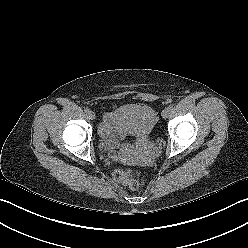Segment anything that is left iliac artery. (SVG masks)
I'll return each instance as SVG.
<instances>
[{
  "instance_id": "1",
  "label": "left iliac artery",
  "mask_w": 248,
  "mask_h": 248,
  "mask_svg": "<svg viewBox=\"0 0 248 248\" xmlns=\"http://www.w3.org/2000/svg\"><path fill=\"white\" fill-rule=\"evenodd\" d=\"M168 108H169L170 110H172V106H169Z\"/></svg>"
}]
</instances>
